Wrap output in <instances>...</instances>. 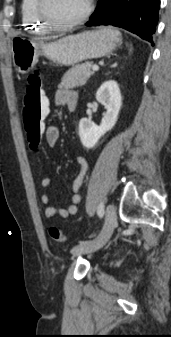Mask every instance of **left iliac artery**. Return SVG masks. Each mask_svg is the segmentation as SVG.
Returning a JSON list of instances; mask_svg holds the SVG:
<instances>
[{"instance_id": "44dca946", "label": "left iliac artery", "mask_w": 171, "mask_h": 337, "mask_svg": "<svg viewBox=\"0 0 171 337\" xmlns=\"http://www.w3.org/2000/svg\"><path fill=\"white\" fill-rule=\"evenodd\" d=\"M97 214L100 218L103 217V215H104V205H103V203H100V205L98 206ZM81 243H84V242H81Z\"/></svg>"}]
</instances>
